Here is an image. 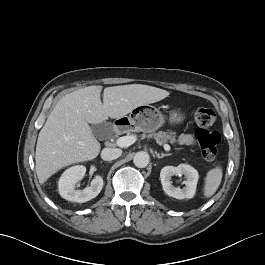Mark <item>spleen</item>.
<instances>
[{
    "label": "spleen",
    "instance_id": "spleen-1",
    "mask_svg": "<svg viewBox=\"0 0 265 265\" xmlns=\"http://www.w3.org/2000/svg\"><path fill=\"white\" fill-rule=\"evenodd\" d=\"M222 176L223 173L221 166H216L207 172L204 181V197L210 198L215 194L221 183Z\"/></svg>",
    "mask_w": 265,
    "mask_h": 265
}]
</instances>
